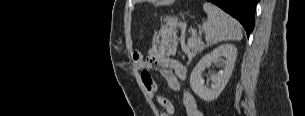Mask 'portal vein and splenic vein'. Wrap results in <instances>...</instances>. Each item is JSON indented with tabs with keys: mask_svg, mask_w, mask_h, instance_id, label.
Listing matches in <instances>:
<instances>
[{
	"mask_svg": "<svg viewBox=\"0 0 305 116\" xmlns=\"http://www.w3.org/2000/svg\"><path fill=\"white\" fill-rule=\"evenodd\" d=\"M192 35L195 36V35H196V31H193V32H192Z\"/></svg>",
	"mask_w": 305,
	"mask_h": 116,
	"instance_id": "obj_1",
	"label": "portal vein and splenic vein"
}]
</instances>
